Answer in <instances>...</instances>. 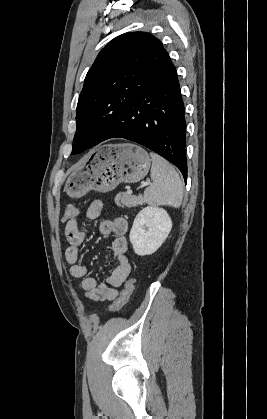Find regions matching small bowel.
Wrapping results in <instances>:
<instances>
[{
  "mask_svg": "<svg viewBox=\"0 0 267 419\" xmlns=\"http://www.w3.org/2000/svg\"><path fill=\"white\" fill-rule=\"evenodd\" d=\"M102 211L103 203L100 200H94L90 203L86 216L89 220H95ZM99 230L105 236H114L109 248L113 269L106 277L105 283H98L96 279L88 276L87 266L79 263L80 246L85 241L86 234L78 227L77 215L70 218L65 225L64 232L69 242L65 258L69 264L70 274L74 278L80 279L79 287L89 299L94 301L113 300L118 295L117 288L127 279L131 271L126 255L128 243L125 234L128 224L123 218L105 219L100 223Z\"/></svg>",
  "mask_w": 267,
  "mask_h": 419,
  "instance_id": "1",
  "label": "small bowel"
}]
</instances>
